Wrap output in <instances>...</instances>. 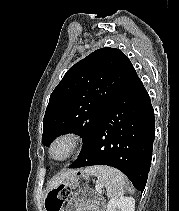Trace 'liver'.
<instances>
[{
    "label": "liver",
    "instance_id": "obj_1",
    "mask_svg": "<svg viewBox=\"0 0 179 211\" xmlns=\"http://www.w3.org/2000/svg\"><path fill=\"white\" fill-rule=\"evenodd\" d=\"M75 172H76L75 170H65L62 173L55 176L51 181L49 190L57 187L61 182H63L65 179H67L70 175L74 174Z\"/></svg>",
    "mask_w": 179,
    "mask_h": 211
}]
</instances>
